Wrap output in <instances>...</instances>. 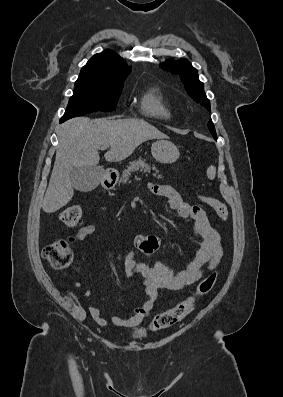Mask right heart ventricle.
<instances>
[{
	"mask_svg": "<svg viewBox=\"0 0 283 397\" xmlns=\"http://www.w3.org/2000/svg\"><path fill=\"white\" fill-rule=\"evenodd\" d=\"M140 106L142 113L150 118L168 119L172 114L170 103L157 87H152L145 91L141 98Z\"/></svg>",
	"mask_w": 283,
	"mask_h": 397,
	"instance_id": "obj_1",
	"label": "right heart ventricle"
}]
</instances>
